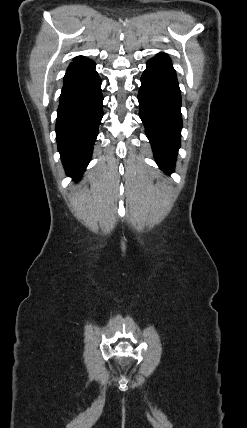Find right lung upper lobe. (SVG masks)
<instances>
[{
    "label": "right lung upper lobe",
    "instance_id": "obj_1",
    "mask_svg": "<svg viewBox=\"0 0 247 428\" xmlns=\"http://www.w3.org/2000/svg\"><path fill=\"white\" fill-rule=\"evenodd\" d=\"M82 58H83V56H78V57H75L74 60H79V59H82Z\"/></svg>",
    "mask_w": 247,
    "mask_h": 428
}]
</instances>
